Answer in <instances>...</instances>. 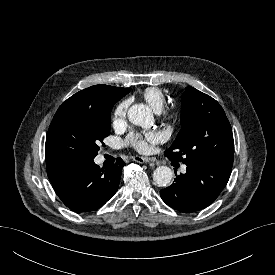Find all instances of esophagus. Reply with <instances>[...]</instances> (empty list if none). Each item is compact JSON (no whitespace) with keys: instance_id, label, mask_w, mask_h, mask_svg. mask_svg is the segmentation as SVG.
I'll list each match as a JSON object with an SVG mask.
<instances>
[{"instance_id":"obj_1","label":"esophagus","mask_w":275,"mask_h":275,"mask_svg":"<svg viewBox=\"0 0 275 275\" xmlns=\"http://www.w3.org/2000/svg\"><path fill=\"white\" fill-rule=\"evenodd\" d=\"M134 161H136L138 163H149V162H154L155 160L153 158H149V157L136 156V157H134Z\"/></svg>"}]
</instances>
